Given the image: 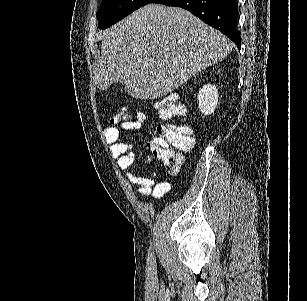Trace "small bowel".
Here are the masks:
<instances>
[{
    "instance_id": "1",
    "label": "small bowel",
    "mask_w": 307,
    "mask_h": 301,
    "mask_svg": "<svg viewBox=\"0 0 307 301\" xmlns=\"http://www.w3.org/2000/svg\"><path fill=\"white\" fill-rule=\"evenodd\" d=\"M140 126L139 123H123L120 126L109 125L104 129V137L110 146L111 155L117 160V165L122 171H129L132 168L135 154L130 143L120 140L121 130ZM130 177L138 186L136 193L139 197H151L154 201H159L171 190L170 183L155 182V173L151 177H142L130 172Z\"/></svg>"
}]
</instances>
